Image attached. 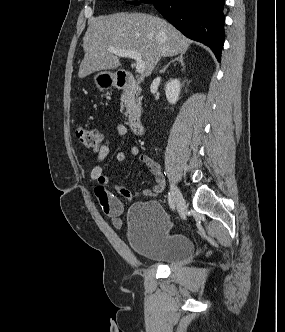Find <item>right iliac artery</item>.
<instances>
[{
  "label": "right iliac artery",
  "instance_id": "1",
  "mask_svg": "<svg viewBox=\"0 0 285 332\" xmlns=\"http://www.w3.org/2000/svg\"><path fill=\"white\" fill-rule=\"evenodd\" d=\"M168 204H169V206H170V208H171L172 210L175 209L174 200H173V198H172V196H171L170 193L168 194Z\"/></svg>",
  "mask_w": 285,
  "mask_h": 332
}]
</instances>
